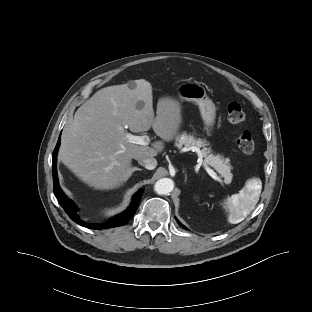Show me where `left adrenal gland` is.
Returning <instances> with one entry per match:
<instances>
[{"label":"left adrenal gland","instance_id":"1","mask_svg":"<svg viewBox=\"0 0 312 312\" xmlns=\"http://www.w3.org/2000/svg\"><path fill=\"white\" fill-rule=\"evenodd\" d=\"M187 179V175H185V180Z\"/></svg>","mask_w":312,"mask_h":312}]
</instances>
